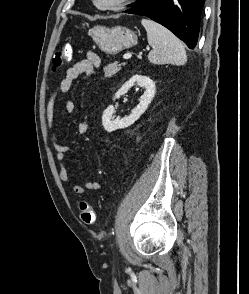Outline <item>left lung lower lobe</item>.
<instances>
[{
	"label": "left lung lower lobe",
	"instance_id": "1",
	"mask_svg": "<svg viewBox=\"0 0 249 294\" xmlns=\"http://www.w3.org/2000/svg\"><path fill=\"white\" fill-rule=\"evenodd\" d=\"M205 0H138L126 13L147 16L172 31L187 46L197 44Z\"/></svg>",
	"mask_w": 249,
	"mask_h": 294
}]
</instances>
